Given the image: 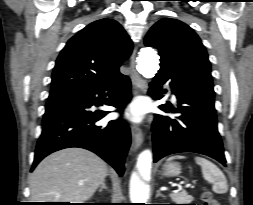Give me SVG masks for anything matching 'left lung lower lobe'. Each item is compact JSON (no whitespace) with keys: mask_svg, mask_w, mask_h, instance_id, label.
<instances>
[{"mask_svg":"<svg viewBox=\"0 0 253 205\" xmlns=\"http://www.w3.org/2000/svg\"><path fill=\"white\" fill-rule=\"evenodd\" d=\"M170 80L172 92L178 100V109L169 104L159 106L166 113L176 112L174 119L155 115L152 125L154 162L173 153L196 152L210 156L225 165L226 160L217 130L214 96L201 90L187 77L167 64H160L149 94L161 99L158 92ZM165 91V90H163Z\"/></svg>","mask_w":253,"mask_h":205,"instance_id":"left-lung-lower-lobe-1","label":"left lung lower lobe"}]
</instances>
